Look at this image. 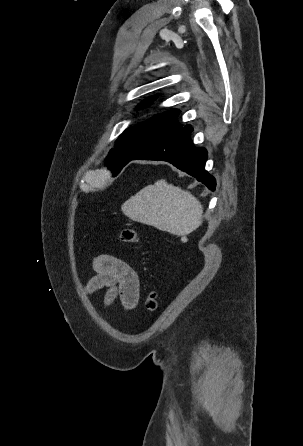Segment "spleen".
Instances as JSON below:
<instances>
[{
  "instance_id": "1",
  "label": "spleen",
  "mask_w": 303,
  "mask_h": 446,
  "mask_svg": "<svg viewBox=\"0 0 303 446\" xmlns=\"http://www.w3.org/2000/svg\"><path fill=\"white\" fill-rule=\"evenodd\" d=\"M131 220L184 236L202 224L203 208L190 192L158 180L131 196L121 206Z\"/></svg>"
}]
</instances>
